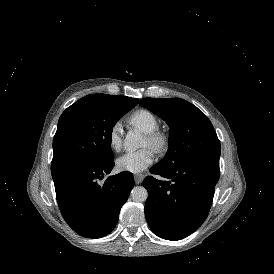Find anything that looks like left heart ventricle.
I'll use <instances>...</instances> for the list:
<instances>
[{
  "label": "left heart ventricle",
  "instance_id": "b2bd125f",
  "mask_svg": "<svg viewBox=\"0 0 274 274\" xmlns=\"http://www.w3.org/2000/svg\"><path fill=\"white\" fill-rule=\"evenodd\" d=\"M145 146H149V142H148V140H147L146 137H145V140H144V142L142 144V147H145Z\"/></svg>",
  "mask_w": 274,
  "mask_h": 274
}]
</instances>
